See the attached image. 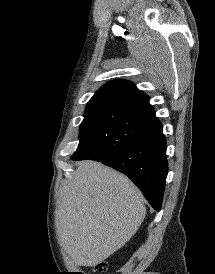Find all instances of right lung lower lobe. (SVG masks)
<instances>
[{
  "instance_id": "98d812e1",
  "label": "right lung lower lobe",
  "mask_w": 215,
  "mask_h": 274,
  "mask_svg": "<svg viewBox=\"0 0 215 274\" xmlns=\"http://www.w3.org/2000/svg\"><path fill=\"white\" fill-rule=\"evenodd\" d=\"M89 159L100 161L127 175L152 207L160 210L168 162L166 140L158 119L112 157L104 160Z\"/></svg>"
}]
</instances>
